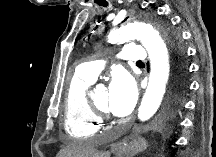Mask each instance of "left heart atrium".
<instances>
[{
  "label": "left heart atrium",
  "instance_id": "1",
  "mask_svg": "<svg viewBox=\"0 0 216 157\" xmlns=\"http://www.w3.org/2000/svg\"><path fill=\"white\" fill-rule=\"evenodd\" d=\"M107 108L116 116H127L137 101V88L133 79L125 72L113 74L109 84Z\"/></svg>",
  "mask_w": 216,
  "mask_h": 157
}]
</instances>
